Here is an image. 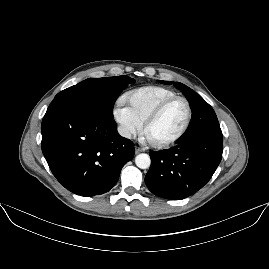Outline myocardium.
I'll list each match as a JSON object with an SVG mask.
<instances>
[{
    "mask_svg": "<svg viewBox=\"0 0 269 269\" xmlns=\"http://www.w3.org/2000/svg\"><path fill=\"white\" fill-rule=\"evenodd\" d=\"M178 101L184 102L186 105V110H187L186 121L181 131L175 137L165 142L155 143V142L150 141L147 137V131L149 127L166 111L168 107H170L172 104ZM191 119H192V108H191L190 102L185 97H179V96L173 97L163 102L161 105H159L154 111H152L148 115L143 126V136L145 140L147 141V143L156 149L162 150V149L170 148L176 145L185 137V135L187 134L189 130Z\"/></svg>",
    "mask_w": 269,
    "mask_h": 269,
    "instance_id": "f54148a6",
    "label": "myocardium"
}]
</instances>
